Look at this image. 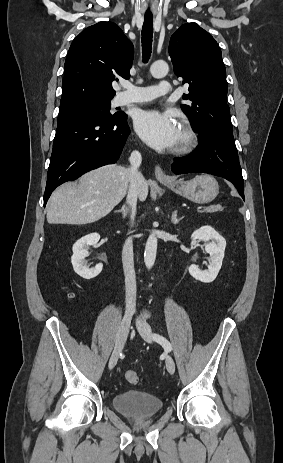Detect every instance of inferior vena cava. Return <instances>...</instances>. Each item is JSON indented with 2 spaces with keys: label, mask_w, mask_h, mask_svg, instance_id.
Masks as SVG:
<instances>
[{
  "label": "inferior vena cava",
  "mask_w": 283,
  "mask_h": 463,
  "mask_svg": "<svg viewBox=\"0 0 283 463\" xmlns=\"http://www.w3.org/2000/svg\"><path fill=\"white\" fill-rule=\"evenodd\" d=\"M129 161L130 184L127 192V202L132 208L131 220L133 221L136 214L138 189L144 183L145 179L138 170L142 162L141 154L138 151H133ZM122 263L125 276L126 311L132 312L135 311L136 306V277L132 238H128L125 241L122 250Z\"/></svg>",
  "instance_id": "1"
}]
</instances>
